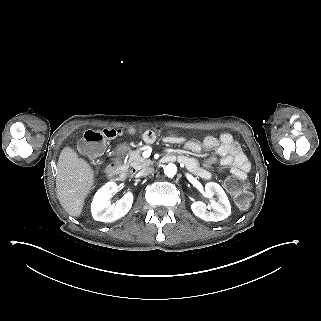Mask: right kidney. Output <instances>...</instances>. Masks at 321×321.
<instances>
[{
    "mask_svg": "<svg viewBox=\"0 0 321 321\" xmlns=\"http://www.w3.org/2000/svg\"><path fill=\"white\" fill-rule=\"evenodd\" d=\"M118 192V185L114 181L107 182L95 194L91 205L93 218L101 222H113L125 216L133 205L134 196L132 188L127 187V192L116 203L111 204L109 198Z\"/></svg>",
    "mask_w": 321,
    "mask_h": 321,
    "instance_id": "right-kidney-1",
    "label": "right kidney"
}]
</instances>
